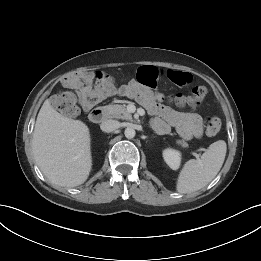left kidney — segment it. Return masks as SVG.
<instances>
[{
	"mask_svg": "<svg viewBox=\"0 0 261 261\" xmlns=\"http://www.w3.org/2000/svg\"><path fill=\"white\" fill-rule=\"evenodd\" d=\"M163 158L166 164L173 170H177L181 163V153L175 149H165L163 151Z\"/></svg>",
	"mask_w": 261,
	"mask_h": 261,
	"instance_id": "left-kidney-1",
	"label": "left kidney"
}]
</instances>
